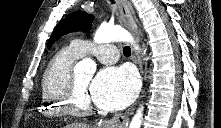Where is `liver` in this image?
<instances>
[{"instance_id": "obj_1", "label": "liver", "mask_w": 221, "mask_h": 128, "mask_svg": "<svg viewBox=\"0 0 221 128\" xmlns=\"http://www.w3.org/2000/svg\"><path fill=\"white\" fill-rule=\"evenodd\" d=\"M65 128H91V127L83 123H74V124L66 125Z\"/></svg>"}]
</instances>
